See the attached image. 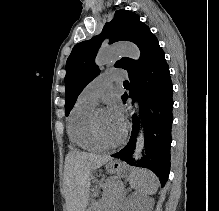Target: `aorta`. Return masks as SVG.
I'll return each mask as SVG.
<instances>
[{"label":"aorta","instance_id":"aorta-1","mask_svg":"<svg viewBox=\"0 0 219 211\" xmlns=\"http://www.w3.org/2000/svg\"><path fill=\"white\" fill-rule=\"evenodd\" d=\"M121 56L138 60L140 58V50L133 43H129V42L119 43L110 46L106 49L100 50L96 57V64L101 67L109 64L110 62ZM138 108H139L138 105H136L137 113L139 111ZM143 148H144V133H143V129H140L136 140L135 150L133 153V158L135 160L140 159Z\"/></svg>","mask_w":219,"mask_h":211}]
</instances>
